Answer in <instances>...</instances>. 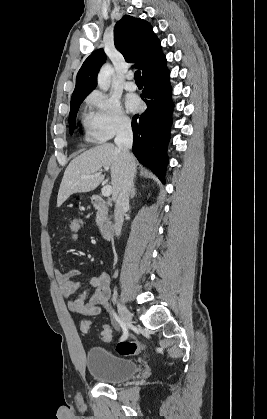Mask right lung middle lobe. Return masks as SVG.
Listing matches in <instances>:
<instances>
[{"mask_svg": "<svg viewBox=\"0 0 267 419\" xmlns=\"http://www.w3.org/2000/svg\"><path fill=\"white\" fill-rule=\"evenodd\" d=\"M86 96L78 97V98H71V109L69 114V132L70 134L73 133L74 127H75V121H76V115L78 112V109L80 107V104L83 102Z\"/></svg>", "mask_w": 267, "mask_h": 419, "instance_id": "obj_1", "label": "right lung middle lobe"}]
</instances>
